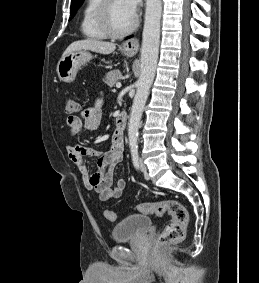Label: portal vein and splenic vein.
Wrapping results in <instances>:
<instances>
[{
	"label": "portal vein and splenic vein",
	"mask_w": 259,
	"mask_h": 283,
	"mask_svg": "<svg viewBox=\"0 0 259 283\" xmlns=\"http://www.w3.org/2000/svg\"><path fill=\"white\" fill-rule=\"evenodd\" d=\"M116 87H117V88H120V87H121V83H117V84H116Z\"/></svg>",
	"instance_id": "obj_1"
}]
</instances>
